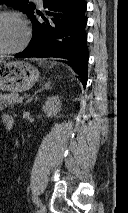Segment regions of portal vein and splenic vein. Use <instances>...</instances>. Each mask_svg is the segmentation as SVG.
I'll return each mask as SVG.
<instances>
[{
  "instance_id": "obj_1",
  "label": "portal vein and splenic vein",
  "mask_w": 128,
  "mask_h": 213,
  "mask_svg": "<svg viewBox=\"0 0 128 213\" xmlns=\"http://www.w3.org/2000/svg\"><path fill=\"white\" fill-rule=\"evenodd\" d=\"M20 100L22 101V100H23V97H20Z\"/></svg>"
}]
</instances>
